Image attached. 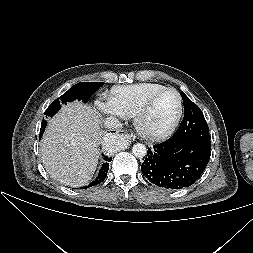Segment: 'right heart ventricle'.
I'll return each instance as SVG.
<instances>
[{"mask_svg": "<svg viewBox=\"0 0 253 253\" xmlns=\"http://www.w3.org/2000/svg\"><path fill=\"white\" fill-rule=\"evenodd\" d=\"M163 88L165 86L158 83H137L118 86L111 90L109 100L119 115L132 118L145 98Z\"/></svg>", "mask_w": 253, "mask_h": 253, "instance_id": "obj_1", "label": "right heart ventricle"}]
</instances>
